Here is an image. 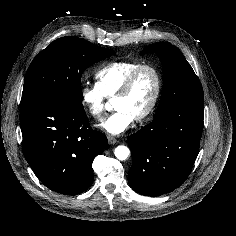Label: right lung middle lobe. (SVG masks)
I'll use <instances>...</instances> for the list:
<instances>
[{
  "instance_id": "right-lung-middle-lobe-1",
  "label": "right lung middle lobe",
  "mask_w": 236,
  "mask_h": 236,
  "mask_svg": "<svg viewBox=\"0 0 236 236\" xmlns=\"http://www.w3.org/2000/svg\"><path fill=\"white\" fill-rule=\"evenodd\" d=\"M113 54L111 49L76 37L53 41L32 61L25 77L21 105L50 100L82 107L80 80L83 71Z\"/></svg>"
}]
</instances>
